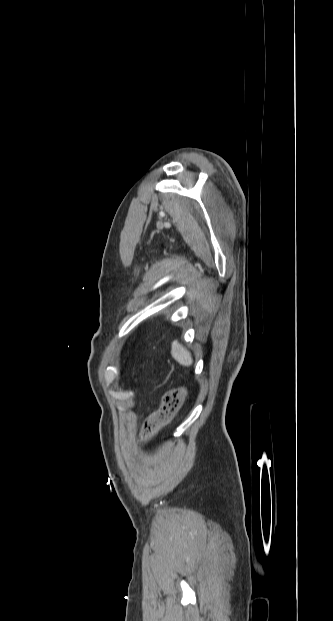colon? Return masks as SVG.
<instances>
[{"label":"colon","instance_id":"obj_1","mask_svg":"<svg viewBox=\"0 0 333 621\" xmlns=\"http://www.w3.org/2000/svg\"><path fill=\"white\" fill-rule=\"evenodd\" d=\"M185 392V387L179 386L167 391L163 395L157 410L154 411L144 423L141 433V439L143 441L151 439L171 420L178 411L185 396Z\"/></svg>","mask_w":333,"mask_h":621}]
</instances>
